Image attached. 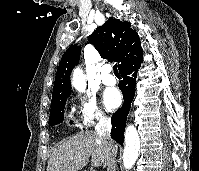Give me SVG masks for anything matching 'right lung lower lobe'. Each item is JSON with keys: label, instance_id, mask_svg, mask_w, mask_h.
Returning <instances> with one entry per match:
<instances>
[{"label": "right lung lower lobe", "instance_id": "obj_1", "mask_svg": "<svg viewBox=\"0 0 199 171\" xmlns=\"http://www.w3.org/2000/svg\"><path fill=\"white\" fill-rule=\"evenodd\" d=\"M141 63L142 57L136 61L124 65L119 69L123 77V80L119 83V88L124 97V104L114 113L111 118V137L120 145H123L127 114L130 110V104L135 95L136 75Z\"/></svg>", "mask_w": 199, "mask_h": 171}]
</instances>
